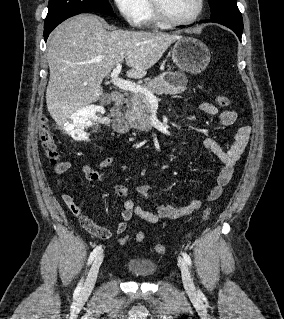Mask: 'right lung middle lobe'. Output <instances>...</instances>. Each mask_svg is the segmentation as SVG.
<instances>
[{
    "label": "right lung middle lobe",
    "mask_w": 284,
    "mask_h": 319,
    "mask_svg": "<svg viewBox=\"0 0 284 319\" xmlns=\"http://www.w3.org/2000/svg\"><path fill=\"white\" fill-rule=\"evenodd\" d=\"M93 11L112 12L113 10L108 0H49L44 26L68 15Z\"/></svg>",
    "instance_id": "dd1d6c3e"
}]
</instances>
